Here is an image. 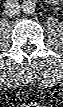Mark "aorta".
I'll use <instances>...</instances> for the list:
<instances>
[{
    "label": "aorta",
    "mask_w": 63,
    "mask_h": 107,
    "mask_svg": "<svg viewBox=\"0 0 63 107\" xmlns=\"http://www.w3.org/2000/svg\"><path fill=\"white\" fill-rule=\"evenodd\" d=\"M22 11L26 14H32L36 10V3L33 0H25L21 5Z\"/></svg>",
    "instance_id": "1"
}]
</instances>
